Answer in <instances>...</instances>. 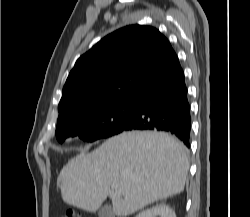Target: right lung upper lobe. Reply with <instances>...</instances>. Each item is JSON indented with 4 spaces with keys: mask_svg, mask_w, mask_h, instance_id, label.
<instances>
[{
    "mask_svg": "<svg viewBox=\"0 0 250 217\" xmlns=\"http://www.w3.org/2000/svg\"><path fill=\"white\" fill-rule=\"evenodd\" d=\"M179 64L155 28L131 25L104 37L71 70L58 105V122L91 107L134 99Z\"/></svg>",
    "mask_w": 250,
    "mask_h": 217,
    "instance_id": "obj_1",
    "label": "right lung upper lobe"
}]
</instances>
